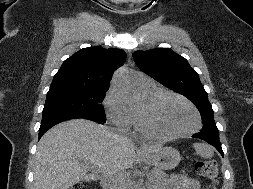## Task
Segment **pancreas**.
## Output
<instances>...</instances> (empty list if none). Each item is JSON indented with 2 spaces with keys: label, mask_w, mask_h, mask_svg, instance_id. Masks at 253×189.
<instances>
[{
  "label": "pancreas",
  "mask_w": 253,
  "mask_h": 189,
  "mask_svg": "<svg viewBox=\"0 0 253 189\" xmlns=\"http://www.w3.org/2000/svg\"><path fill=\"white\" fill-rule=\"evenodd\" d=\"M168 175L160 169L151 171V181L155 186H161L168 182Z\"/></svg>",
  "instance_id": "cf45deb5"
}]
</instances>
